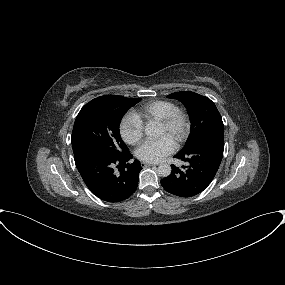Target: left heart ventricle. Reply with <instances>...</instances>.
<instances>
[{"mask_svg":"<svg viewBox=\"0 0 285 285\" xmlns=\"http://www.w3.org/2000/svg\"><path fill=\"white\" fill-rule=\"evenodd\" d=\"M158 136L159 137L168 136L173 141H175V138L177 136V130L174 129V130L169 131L165 127H163L162 125H159Z\"/></svg>","mask_w":285,"mask_h":285,"instance_id":"b2bd125f","label":"left heart ventricle"}]
</instances>
